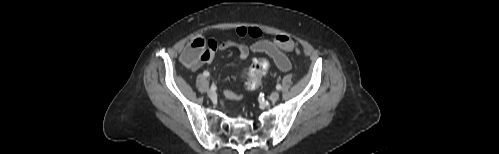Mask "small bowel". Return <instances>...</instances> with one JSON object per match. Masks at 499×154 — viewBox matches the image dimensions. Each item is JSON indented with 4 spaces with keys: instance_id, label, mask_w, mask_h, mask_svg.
Wrapping results in <instances>:
<instances>
[{
    "instance_id": "small-bowel-1",
    "label": "small bowel",
    "mask_w": 499,
    "mask_h": 154,
    "mask_svg": "<svg viewBox=\"0 0 499 154\" xmlns=\"http://www.w3.org/2000/svg\"><path fill=\"white\" fill-rule=\"evenodd\" d=\"M235 33L236 35L241 37L249 36L257 40L248 46L233 41H216L214 39H210L209 43L211 50H226L229 48H234L238 51L240 62H246L250 52H261L271 57L277 68L281 71L286 72L291 69V63L288 57L279 49V47L274 42L263 39V33L259 28L242 26L236 28ZM225 95L233 100H240L242 98L241 94H236L231 91H226Z\"/></svg>"
}]
</instances>
